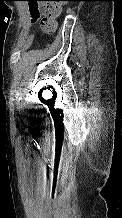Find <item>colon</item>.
Masks as SVG:
<instances>
[{
    "instance_id": "obj_1",
    "label": "colon",
    "mask_w": 122,
    "mask_h": 218,
    "mask_svg": "<svg viewBox=\"0 0 122 218\" xmlns=\"http://www.w3.org/2000/svg\"><path fill=\"white\" fill-rule=\"evenodd\" d=\"M32 22L41 24L45 32H52L56 27V19L62 10V3L66 0H28ZM40 4V9L37 5Z\"/></svg>"
}]
</instances>
